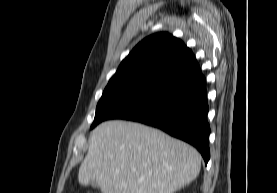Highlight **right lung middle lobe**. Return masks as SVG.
<instances>
[{
    "label": "right lung middle lobe",
    "mask_w": 277,
    "mask_h": 193,
    "mask_svg": "<svg viewBox=\"0 0 277 193\" xmlns=\"http://www.w3.org/2000/svg\"><path fill=\"white\" fill-rule=\"evenodd\" d=\"M149 93L151 92L136 89H105L101 99L98 102L95 119L91 125V129L102 121L111 119L120 111L132 106Z\"/></svg>",
    "instance_id": "obj_1"
}]
</instances>
